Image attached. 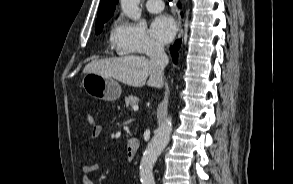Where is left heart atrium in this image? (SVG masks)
Returning a JSON list of instances; mask_svg holds the SVG:
<instances>
[{
  "instance_id": "1",
  "label": "left heart atrium",
  "mask_w": 293,
  "mask_h": 184,
  "mask_svg": "<svg viewBox=\"0 0 293 184\" xmlns=\"http://www.w3.org/2000/svg\"><path fill=\"white\" fill-rule=\"evenodd\" d=\"M176 32V23L168 15L156 17L151 23V33L159 42H169Z\"/></svg>"
}]
</instances>
